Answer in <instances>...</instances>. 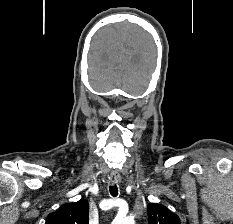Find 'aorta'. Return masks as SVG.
I'll use <instances>...</instances> for the list:
<instances>
[{
    "label": "aorta",
    "instance_id": "aorta-1",
    "mask_svg": "<svg viewBox=\"0 0 233 224\" xmlns=\"http://www.w3.org/2000/svg\"><path fill=\"white\" fill-rule=\"evenodd\" d=\"M112 224H135V222L131 217L117 216Z\"/></svg>",
    "mask_w": 233,
    "mask_h": 224
}]
</instances>
